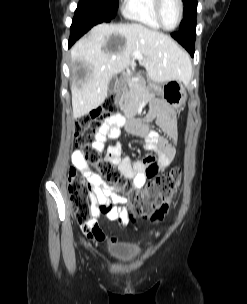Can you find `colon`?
<instances>
[{
	"label": "colon",
	"mask_w": 247,
	"mask_h": 304,
	"mask_svg": "<svg viewBox=\"0 0 247 304\" xmlns=\"http://www.w3.org/2000/svg\"><path fill=\"white\" fill-rule=\"evenodd\" d=\"M119 101L120 94L112 93L100 107L82 116L75 125L77 143L86 162L96 169L104 182L111 189L124 193L127 210L132 216L149 215L152 222H159L168 210L166 199L181 184V170L174 168L165 174L155 175L143 190H132L111 162H105L92 145V139L104 121L116 114ZM151 162L154 167L153 158ZM68 191L77 221L81 225L89 224L92 221L94 208L92 188L76 169L69 171Z\"/></svg>",
	"instance_id": "5ec220e1"
}]
</instances>
